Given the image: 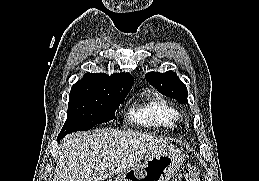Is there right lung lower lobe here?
Here are the masks:
<instances>
[{
  "mask_svg": "<svg viewBox=\"0 0 259 181\" xmlns=\"http://www.w3.org/2000/svg\"><path fill=\"white\" fill-rule=\"evenodd\" d=\"M63 137H58L57 139H58V142L60 141V139H62Z\"/></svg>",
  "mask_w": 259,
  "mask_h": 181,
  "instance_id": "obj_1",
  "label": "right lung lower lobe"
}]
</instances>
